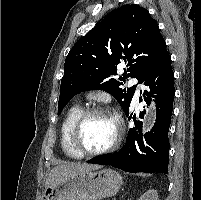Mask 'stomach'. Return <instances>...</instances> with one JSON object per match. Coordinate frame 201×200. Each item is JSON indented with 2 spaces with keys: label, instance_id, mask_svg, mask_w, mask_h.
I'll return each mask as SVG.
<instances>
[{
  "label": "stomach",
  "instance_id": "obj_1",
  "mask_svg": "<svg viewBox=\"0 0 201 200\" xmlns=\"http://www.w3.org/2000/svg\"><path fill=\"white\" fill-rule=\"evenodd\" d=\"M121 185V176L112 169L83 171L52 182L41 200H100L115 195Z\"/></svg>",
  "mask_w": 201,
  "mask_h": 200
}]
</instances>
